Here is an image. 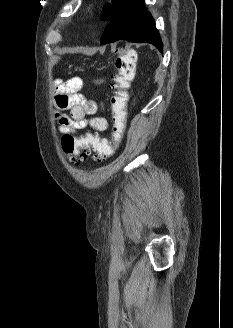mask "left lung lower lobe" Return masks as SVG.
<instances>
[{
	"label": "left lung lower lobe",
	"instance_id": "0a47b994",
	"mask_svg": "<svg viewBox=\"0 0 233 328\" xmlns=\"http://www.w3.org/2000/svg\"><path fill=\"white\" fill-rule=\"evenodd\" d=\"M120 39L130 42L153 43L162 52V41L155 22L145 11L143 0H129L106 27L100 42L112 43Z\"/></svg>",
	"mask_w": 233,
	"mask_h": 328
}]
</instances>
